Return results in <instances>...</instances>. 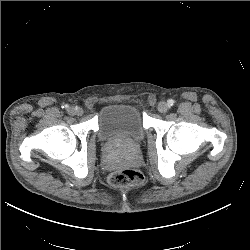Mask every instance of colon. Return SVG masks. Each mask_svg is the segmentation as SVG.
I'll return each mask as SVG.
<instances>
[{"instance_id":"obj_1","label":"colon","mask_w":250,"mask_h":250,"mask_svg":"<svg viewBox=\"0 0 250 250\" xmlns=\"http://www.w3.org/2000/svg\"><path fill=\"white\" fill-rule=\"evenodd\" d=\"M143 182V175L132 169H121L109 175V183L116 188L138 186Z\"/></svg>"}]
</instances>
